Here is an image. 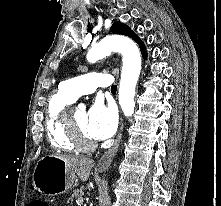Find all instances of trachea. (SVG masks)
<instances>
[{"instance_id": "3493384b", "label": "trachea", "mask_w": 221, "mask_h": 206, "mask_svg": "<svg viewBox=\"0 0 221 206\" xmlns=\"http://www.w3.org/2000/svg\"><path fill=\"white\" fill-rule=\"evenodd\" d=\"M117 90V86L116 85H113L112 87H111V91H116Z\"/></svg>"}]
</instances>
